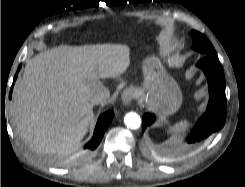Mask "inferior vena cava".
Returning <instances> with one entry per match:
<instances>
[{"mask_svg":"<svg viewBox=\"0 0 245 187\" xmlns=\"http://www.w3.org/2000/svg\"><path fill=\"white\" fill-rule=\"evenodd\" d=\"M110 97V92L105 86H100L91 91L89 101L92 105L104 104Z\"/></svg>","mask_w":245,"mask_h":187,"instance_id":"602c4592","label":"inferior vena cava"}]
</instances>
